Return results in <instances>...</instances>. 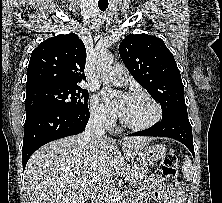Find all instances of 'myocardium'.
Wrapping results in <instances>:
<instances>
[{
	"mask_svg": "<svg viewBox=\"0 0 222 203\" xmlns=\"http://www.w3.org/2000/svg\"><path fill=\"white\" fill-rule=\"evenodd\" d=\"M128 96L146 98L154 106V108L156 110V115L151 121H149L145 124L137 125V124H132V123L127 122L120 114L119 115L120 122L125 128H128L130 130H134V131H142V130H146V129H149V128L155 126L156 124H158L161 121L162 116H163L162 107L153 96H151L149 93L143 92V91L131 92L128 94Z\"/></svg>",
	"mask_w": 222,
	"mask_h": 203,
	"instance_id": "f54148a6",
	"label": "myocardium"
}]
</instances>
